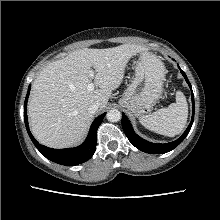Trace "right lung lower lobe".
I'll return each instance as SVG.
<instances>
[{"label":"right lung lower lobe","instance_id":"98d812e1","mask_svg":"<svg viewBox=\"0 0 220 220\" xmlns=\"http://www.w3.org/2000/svg\"><path fill=\"white\" fill-rule=\"evenodd\" d=\"M31 85L28 87V92L25 98V104H24V121L26 125V129L28 131V134L36 146V148L40 151V153L45 156L47 159L62 164L65 166H75L78 164H81L87 160H89L96 149V141H97V129L100 126L104 116L106 113H103L98 118L95 119V121L92 123V126L90 128L89 134L83 144H81L78 147L75 148H67V149H52L48 148L46 146L40 145L33 135L31 134L28 126V118H27V101L29 97Z\"/></svg>","mask_w":220,"mask_h":220}]
</instances>
